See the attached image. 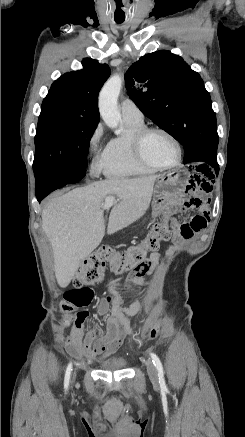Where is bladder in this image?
I'll return each instance as SVG.
<instances>
[{
    "instance_id": "31cf9c89",
    "label": "bladder",
    "mask_w": 245,
    "mask_h": 437,
    "mask_svg": "<svg viewBox=\"0 0 245 437\" xmlns=\"http://www.w3.org/2000/svg\"><path fill=\"white\" fill-rule=\"evenodd\" d=\"M128 361L124 356H116L101 363V368L108 371L125 369Z\"/></svg>"
}]
</instances>
